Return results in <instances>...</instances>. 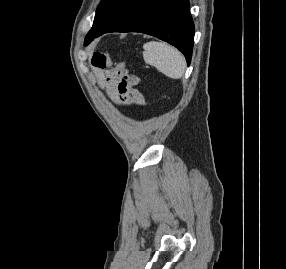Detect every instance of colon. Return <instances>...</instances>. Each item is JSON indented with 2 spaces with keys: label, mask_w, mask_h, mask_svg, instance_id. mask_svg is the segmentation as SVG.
Listing matches in <instances>:
<instances>
[{
  "label": "colon",
  "mask_w": 286,
  "mask_h": 269,
  "mask_svg": "<svg viewBox=\"0 0 286 269\" xmlns=\"http://www.w3.org/2000/svg\"><path fill=\"white\" fill-rule=\"evenodd\" d=\"M114 70H121L119 74L120 95L123 100H127V105H131V110H136V105H140L144 102L143 94L138 90L141 88L140 78H136L133 75L128 74L127 65H114Z\"/></svg>",
  "instance_id": "5ec220e1"
}]
</instances>
